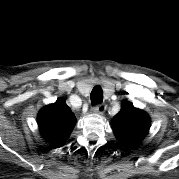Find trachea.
I'll return each instance as SVG.
<instances>
[{"label":"trachea","mask_w":179,"mask_h":179,"mask_svg":"<svg viewBox=\"0 0 179 179\" xmlns=\"http://www.w3.org/2000/svg\"><path fill=\"white\" fill-rule=\"evenodd\" d=\"M90 99H91V104L93 106L102 103V101H103V90L100 86H95L92 89Z\"/></svg>","instance_id":"3493384b"}]
</instances>
